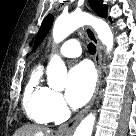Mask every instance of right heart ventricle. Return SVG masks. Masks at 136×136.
I'll return each instance as SVG.
<instances>
[{"instance_id":"1","label":"right heart ventricle","mask_w":136,"mask_h":136,"mask_svg":"<svg viewBox=\"0 0 136 136\" xmlns=\"http://www.w3.org/2000/svg\"><path fill=\"white\" fill-rule=\"evenodd\" d=\"M50 89L42 83V70L34 69L29 76L23 95V107L28 117L41 124L53 121L48 107Z\"/></svg>"}]
</instances>
